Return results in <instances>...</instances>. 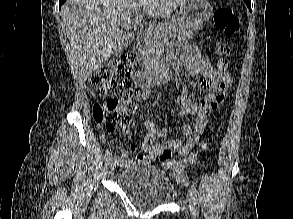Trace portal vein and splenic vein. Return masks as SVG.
Returning a JSON list of instances; mask_svg holds the SVG:
<instances>
[{
    "label": "portal vein and splenic vein",
    "mask_w": 293,
    "mask_h": 219,
    "mask_svg": "<svg viewBox=\"0 0 293 219\" xmlns=\"http://www.w3.org/2000/svg\"><path fill=\"white\" fill-rule=\"evenodd\" d=\"M142 16H143V15H139V16H138V19H140Z\"/></svg>",
    "instance_id": "18ae733b"
}]
</instances>
